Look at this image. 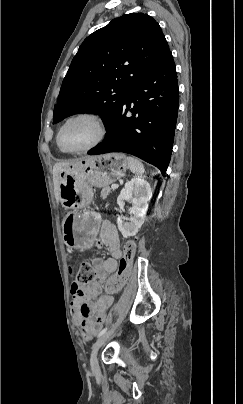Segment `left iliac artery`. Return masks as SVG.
I'll return each mask as SVG.
<instances>
[{
	"label": "left iliac artery",
	"mask_w": 243,
	"mask_h": 404,
	"mask_svg": "<svg viewBox=\"0 0 243 404\" xmlns=\"http://www.w3.org/2000/svg\"><path fill=\"white\" fill-rule=\"evenodd\" d=\"M108 330V327L104 328L99 334L98 337L102 336L104 333H106Z\"/></svg>",
	"instance_id": "left-iliac-artery-1"
}]
</instances>
